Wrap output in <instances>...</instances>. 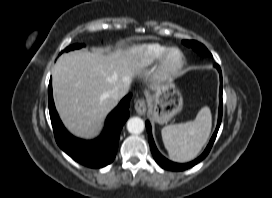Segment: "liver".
Listing matches in <instances>:
<instances>
[{"label": "liver", "mask_w": 272, "mask_h": 198, "mask_svg": "<svg viewBox=\"0 0 272 198\" xmlns=\"http://www.w3.org/2000/svg\"><path fill=\"white\" fill-rule=\"evenodd\" d=\"M140 59L143 55L136 48L110 53L99 48L79 50L58 59L52 73L53 95L72 134L92 139L100 133L106 116L118 103L110 92L115 87L129 89L132 77L141 71Z\"/></svg>", "instance_id": "1"}]
</instances>
